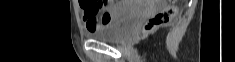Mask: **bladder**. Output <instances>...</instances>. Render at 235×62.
<instances>
[{
	"label": "bladder",
	"mask_w": 235,
	"mask_h": 62,
	"mask_svg": "<svg viewBox=\"0 0 235 62\" xmlns=\"http://www.w3.org/2000/svg\"><path fill=\"white\" fill-rule=\"evenodd\" d=\"M141 16V6L128 1L114 13L112 19L97 29L87 32L91 39L103 42H120L126 38Z\"/></svg>",
	"instance_id": "31cf9c89"
}]
</instances>
